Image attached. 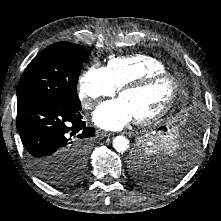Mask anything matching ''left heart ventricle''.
Returning <instances> with one entry per match:
<instances>
[{"label": "left heart ventricle", "mask_w": 221, "mask_h": 221, "mask_svg": "<svg viewBox=\"0 0 221 221\" xmlns=\"http://www.w3.org/2000/svg\"><path fill=\"white\" fill-rule=\"evenodd\" d=\"M173 89L172 81L164 78L143 89L123 92L120 98L130 107L134 119H138L161 110L170 100Z\"/></svg>", "instance_id": "b2bd125f"}]
</instances>
